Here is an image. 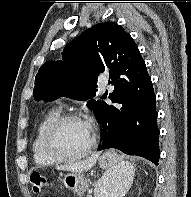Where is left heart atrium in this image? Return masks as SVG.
Listing matches in <instances>:
<instances>
[{"mask_svg":"<svg viewBox=\"0 0 191 197\" xmlns=\"http://www.w3.org/2000/svg\"><path fill=\"white\" fill-rule=\"evenodd\" d=\"M85 124L92 131V123H91V121H88Z\"/></svg>","mask_w":191,"mask_h":197,"instance_id":"left-heart-atrium-1","label":"left heart atrium"}]
</instances>
